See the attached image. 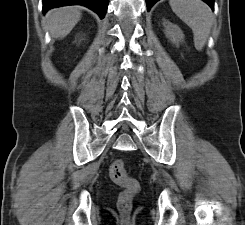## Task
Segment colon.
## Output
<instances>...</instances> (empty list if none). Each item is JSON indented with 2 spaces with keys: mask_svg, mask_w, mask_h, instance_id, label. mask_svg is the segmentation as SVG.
<instances>
[{
  "mask_svg": "<svg viewBox=\"0 0 245 225\" xmlns=\"http://www.w3.org/2000/svg\"><path fill=\"white\" fill-rule=\"evenodd\" d=\"M109 175L114 183L123 188L117 205L121 213L128 214L132 209L133 198L140 188L139 182L128 174L122 159H114L110 163Z\"/></svg>",
  "mask_w": 245,
  "mask_h": 225,
  "instance_id": "colon-1",
  "label": "colon"
}]
</instances>
